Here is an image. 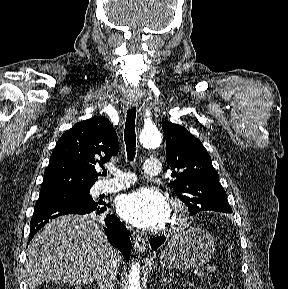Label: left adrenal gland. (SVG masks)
Instances as JSON below:
<instances>
[{
	"label": "left adrenal gland",
	"mask_w": 288,
	"mask_h": 289,
	"mask_svg": "<svg viewBox=\"0 0 288 289\" xmlns=\"http://www.w3.org/2000/svg\"><path fill=\"white\" fill-rule=\"evenodd\" d=\"M161 278H162V279H161V286H162L164 283H166V282H171V281H172V279H171L170 277L167 278V277L165 276V274H162V275H161Z\"/></svg>",
	"instance_id": "a2214340"
}]
</instances>
